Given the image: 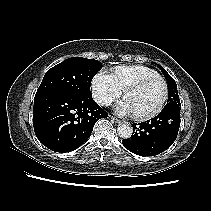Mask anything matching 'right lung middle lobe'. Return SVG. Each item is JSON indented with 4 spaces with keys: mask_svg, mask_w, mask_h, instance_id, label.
Here are the masks:
<instances>
[{
    "mask_svg": "<svg viewBox=\"0 0 211 211\" xmlns=\"http://www.w3.org/2000/svg\"><path fill=\"white\" fill-rule=\"evenodd\" d=\"M101 67L98 60L68 58L46 72L35 96L54 92L92 96L91 81Z\"/></svg>",
    "mask_w": 211,
    "mask_h": 211,
    "instance_id": "right-lung-middle-lobe-1",
    "label": "right lung middle lobe"
}]
</instances>
